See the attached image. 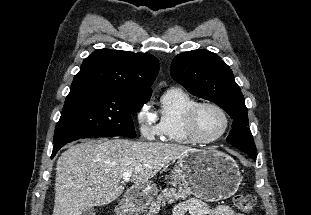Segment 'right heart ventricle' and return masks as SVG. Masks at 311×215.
<instances>
[{
  "label": "right heart ventricle",
  "instance_id": "e07e8e85",
  "mask_svg": "<svg viewBox=\"0 0 311 215\" xmlns=\"http://www.w3.org/2000/svg\"><path fill=\"white\" fill-rule=\"evenodd\" d=\"M195 103L197 102L188 93L179 88H172L164 93L159 110L162 140L176 144L194 143L185 131L184 117Z\"/></svg>",
  "mask_w": 311,
  "mask_h": 215
}]
</instances>
